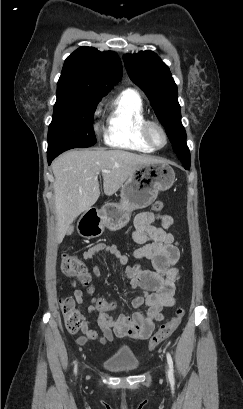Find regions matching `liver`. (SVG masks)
<instances>
[{"label":"liver","instance_id":"liver-1","mask_svg":"<svg viewBox=\"0 0 243 409\" xmlns=\"http://www.w3.org/2000/svg\"><path fill=\"white\" fill-rule=\"evenodd\" d=\"M156 159L123 150H71L52 163L57 243L60 244L73 221L89 210L100 196L98 174L102 173L107 196L116 193L142 165Z\"/></svg>","mask_w":243,"mask_h":409}]
</instances>
